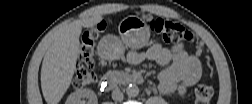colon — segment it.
<instances>
[{
  "label": "colon",
  "instance_id": "1",
  "mask_svg": "<svg viewBox=\"0 0 252 104\" xmlns=\"http://www.w3.org/2000/svg\"><path fill=\"white\" fill-rule=\"evenodd\" d=\"M150 29L166 43L189 41L193 38L192 33L174 20L155 18L150 21ZM104 24H98L87 29L81 37L80 62L78 63L73 86L81 89L95 81L94 73V44L103 34ZM213 97V89L207 84H200L195 89V100L199 104H207Z\"/></svg>",
  "mask_w": 252,
  "mask_h": 104
}]
</instances>
